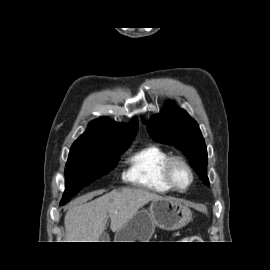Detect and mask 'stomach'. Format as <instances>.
Returning a JSON list of instances; mask_svg holds the SVG:
<instances>
[{"label":"stomach","instance_id":"0dacf381","mask_svg":"<svg viewBox=\"0 0 270 270\" xmlns=\"http://www.w3.org/2000/svg\"><path fill=\"white\" fill-rule=\"evenodd\" d=\"M192 212L173 198H159L151 202L149 209L139 210L135 216L115 234V242H148L155 227L177 230L187 225Z\"/></svg>","mask_w":270,"mask_h":270}]
</instances>
